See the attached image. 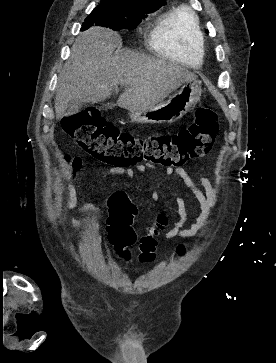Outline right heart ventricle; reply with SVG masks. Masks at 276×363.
Wrapping results in <instances>:
<instances>
[{
	"instance_id": "obj_1",
	"label": "right heart ventricle",
	"mask_w": 276,
	"mask_h": 363,
	"mask_svg": "<svg viewBox=\"0 0 276 363\" xmlns=\"http://www.w3.org/2000/svg\"><path fill=\"white\" fill-rule=\"evenodd\" d=\"M150 45L166 59L200 66L204 49L197 16L186 8L162 15L151 32Z\"/></svg>"
}]
</instances>
